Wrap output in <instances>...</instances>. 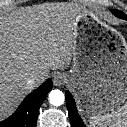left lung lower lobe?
<instances>
[{
	"instance_id": "left-lung-lower-lobe-1",
	"label": "left lung lower lobe",
	"mask_w": 127,
	"mask_h": 127,
	"mask_svg": "<svg viewBox=\"0 0 127 127\" xmlns=\"http://www.w3.org/2000/svg\"><path fill=\"white\" fill-rule=\"evenodd\" d=\"M65 97L72 127H86L77 112L75 101L69 91L65 92Z\"/></svg>"
}]
</instances>
